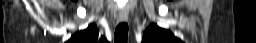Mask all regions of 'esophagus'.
Segmentation results:
<instances>
[{
    "mask_svg": "<svg viewBox=\"0 0 256 43\" xmlns=\"http://www.w3.org/2000/svg\"><path fill=\"white\" fill-rule=\"evenodd\" d=\"M127 20H128V11L125 9H122L119 13V21L127 22Z\"/></svg>",
    "mask_w": 256,
    "mask_h": 43,
    "instance_id": "1",
    "label": "esophagus"
}]
</instances>
